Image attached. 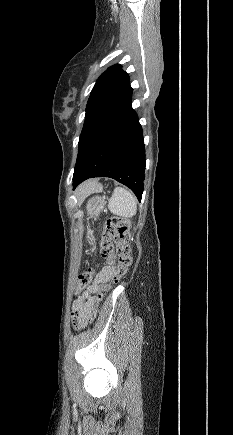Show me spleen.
Listing matches in <instances>:
<instances>
[{
	"mask_svg": "<svg viewBox=\"0 0 233 435\" xmlns=\"http://www.w3.org/2000/svg\"><path fill=\"white\" fill-rule=\"evenodd\" d=\"M111 213L121 217H132L137 212V199L132 192L116 187L109 202Z\"/></svg>",
	"mask_w": 233,
	"mask_h": 435,
	"instance_id": "1",
	"label": "spleen"
}]
</instances>
